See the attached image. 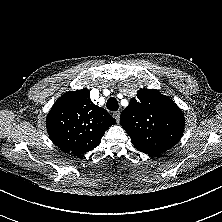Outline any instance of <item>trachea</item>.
<instances>
[{
	"instance_id": "trachea-1",
	"label": "trachea",
	"mask_w": 222,
	"mask_h": 222,
	"mask_svg": "<svg viewBox=\"0 0 222 222\" xmlns=\"http://www.w3.org/2000/svg\"><path fill=\"white\" fill-rule=\"evenodd\" d=\"M107 109L117 111L119 108L118 101L115 97H110L106 103Z\"/></svg>"
}]
</instances>
